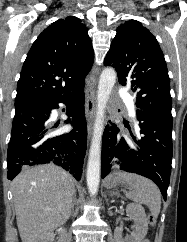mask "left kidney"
<instances>
[{"mask_svg":"<svg viewBox=\"0 0 187 242\" xmlns=\"http://www.w3.org/2000/svg\"><path fill=\"white\" fill-rule=\"evenodd\" d=\"M126 213L134 222L131 234L123 239L121 228L116 227L114 231L115 242H141L148 231V223L144 208L139 204L131 203L127 205Z\"/></svg>","mask_w":187,"mask_h":242,"instance_id":"obj_1","label":"left kidney"}]
</instances>
